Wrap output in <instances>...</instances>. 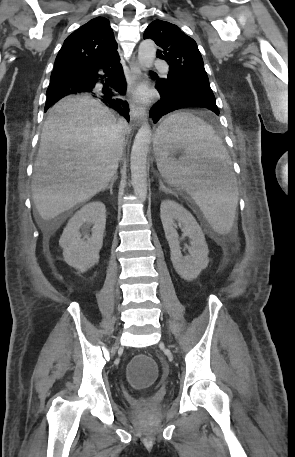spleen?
Wrapping results in <instances>:
<instances>
[{
  "label": "spleen",
  "instance_id": "spleen-1",
  "mask_svg": "<svg viewBox=\"0 0 295 457\" xmlns=\"http://www.w3.org/2000/svg\"><path fill=\"white\" fill-rule=\"evenodd\" d=\"M176 148L184 150V158L169 157ZM154 151L161 176L192 197L215 232L228 234L238 186L229 154L212 127L191 113H175L159 126Z\"/></svg>",
  "mask_w": 295,
  "mask_h": 457
}]
</instances>
